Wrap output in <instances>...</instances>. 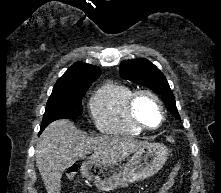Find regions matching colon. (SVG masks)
Wrapping results in <instances>:
<instances>
[{
    "mask_svg": "<svg viewBox=\"0 0 221 193\" xmlns=\"http://www.w3.org/2000/svg\"><path fill=\"white\" fill-rule=\"evenodd\" d=\"M78 167L77 166H73L70 170V173H75L77 171ZM178 171H179V165H176L171 174H170V177L168 179V181L166 183L163 184V186L161 188H163L165 190V193H168V191L172 188V186L174 185V181H175V178L178 174ZM160 188V189H161ZM160 189L158 190L157 193H159Z\"/></svg>",
    "mask_w": 221,
    "mask_h": 193,
    "instance_id": "5ec220e1",
    "label": "colon"
}]
</instances>
